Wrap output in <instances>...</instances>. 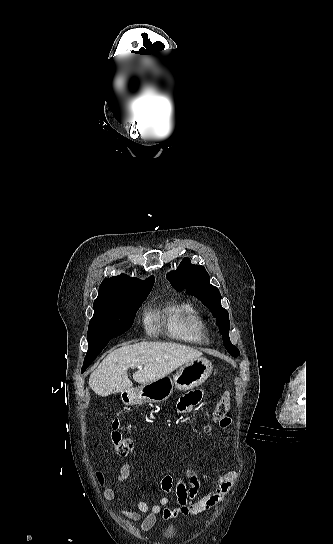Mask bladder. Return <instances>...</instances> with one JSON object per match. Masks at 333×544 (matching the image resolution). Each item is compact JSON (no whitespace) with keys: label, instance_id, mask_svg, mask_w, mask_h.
<instances>
[{"label":"bladder","instance_id":"31cf9c89","mask_svg":"<svg viewBox=\"0 0 333 544\" xmlns=\"http://www.w3.org/2000/svg\"><path fill=\"white\" fill-rule=\"evenodd\" d=\"M164 534L166 537L168 538H172L175 536L176 534V529L174 526L170 525L168 527H166L165 531H164Z\"/></svg>","mask_w":333,"mask_h":544}]
</instances>
